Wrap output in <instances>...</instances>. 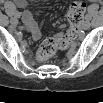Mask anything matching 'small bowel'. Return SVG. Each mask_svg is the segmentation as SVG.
Instances as JSON below:
<instances>
[{
  "instance_id": "1",
  "label": "small bowel",
  "mask_w": 103,
  "mask_h": 103,
  "mask_svg": "<svg viewBox=\"0 0 103 103\" xmlns=\"http://www.w3.org/2000/svg\"><path fill=\"white\" fill-rule=\"evenodd\" d=\"M10 3H6L7 6H9ZM20 8H26L27 3L23 0H18L15 3ZM96 6V5H94ZM20 16V15H19ZM22 22L25 25L27 31L29 32L32 40L38 41L41 37L40 28L37 24V22L34 19V13L30 10H24L22 12Z\"/></svg>"
}]
</instances>
